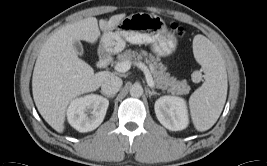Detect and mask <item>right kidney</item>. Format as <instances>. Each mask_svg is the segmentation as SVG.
Masks as SVG:
<instances>
[{"mask_svg":"<svg viewBox=\"0 0 267 166\" xmlns=\"http://www.w3.org/2000/svg\"><path fill=\"white\" fill-rule=\"evenodd\" d=\"M108 105L109 101L99 95L76 98L67 109L68 122L79 132L93 131L103 122Z\"/></svg>","mask_w":267,"mask_h":166,"instance_id":"obj_1","label":"right kidney"}]
</instances>
